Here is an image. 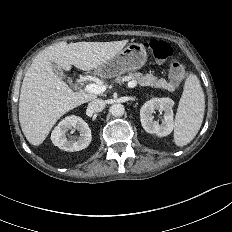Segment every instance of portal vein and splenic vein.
<instances>
[{"instance_id":"18ae733b","label":"portal vein and splenic vein","mask_w":232,"mask_h":232,"mask_svg":"<svg viewBox=\"0 0 232 232\" xmlns=\"http://www.w3.org/2000/svg\"><path fill=\"white\" fill-rule=\"evenodd\" d=\"M137 86V82L136 81H130L128 83V87L129 88H133ZM107 89L106 85H101V84H88L85 86V91H87L88 93H92V94H101L103 92H105Z\"/></svg>"}]
</instances>
